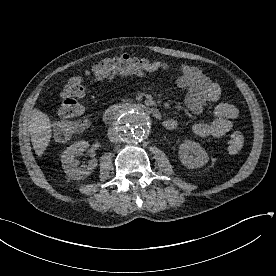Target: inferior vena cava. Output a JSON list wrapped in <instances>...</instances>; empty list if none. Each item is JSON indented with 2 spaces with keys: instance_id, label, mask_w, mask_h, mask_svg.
Segmentation results:
<instances>
[{
  "instance_id": "1",
  "label": "inferior vena cava",
  "mask_w": 276,
  "mask_h": 276,
  "mask_svg": "<svg viewBox=\"0 0 276 276\" xmlns=\"http://www.w3.org/2000/svg\"><path fill=\"white\" fill-rule=\"evenodd\" d=\"M108 138L111 142H117L119 140V134L114 127L108 130Z\"/></svg>"
}]
</instances>
